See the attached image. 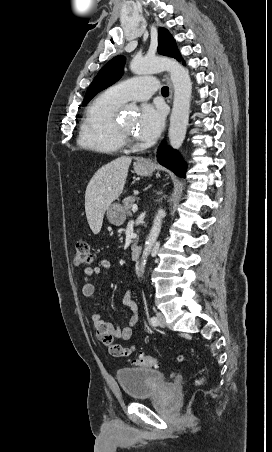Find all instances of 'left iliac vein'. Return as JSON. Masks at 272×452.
Masks as SVG:
<instances>
[{"instance_id":"left-iliac-vein-1","label":"left iliac vein","mask_w":272,"mask_h":452,"mask_svg":"<svg viewBox=\"0 0 272 452\" xmlns=\"http://www.w3.org/2000/svg\"><path fill=\"white\" fill-rule=\"evenodd\" d=\"M156 316H157V319H158V325L160 327H165L166 326V321H165L164 315L162 313L158 312L156 314Z\"/></svg>"}]
</instances>
